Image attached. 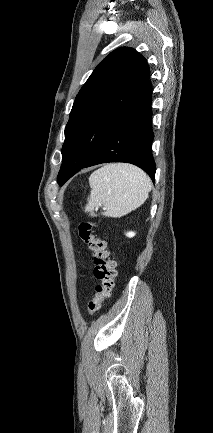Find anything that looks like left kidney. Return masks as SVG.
Returning <instances> with one entry per match:
<instances>
[{
	"label": "left kidney",
	"mask_w": 213,
	"mask_h": 433,
	"mask_svg": "<svg viewBox=\"0 0 213 433\" xmlns=\"http://www.w3.org/2000/svg\"><path fill=\"white\" fill-rule=\"evenodd\" d=\"M126 236L129 237V238H132V237L135 236V232H132V231L127 232Z\"/></svg>",
	"instance_id": "obj_1"
}]
</instances>
